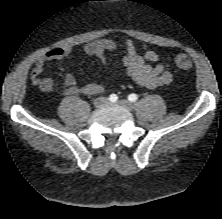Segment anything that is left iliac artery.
<instances>
[{"instance_id":"44dca946","label":"left iliac artery","mask_w":222,"mask_h":219,"mask_svg":"<svg viewBox=\"0 0 222 219\" xmlns=\"http://www.w3.org/2000/svg\"><path fill=\"white\" fill-rule=\"evenodd\" d=\"M138 99V96L136 95V94H130L129 96H128V100L130 101V102H135L136 100Z\"/></svg>"}]
</instances>
